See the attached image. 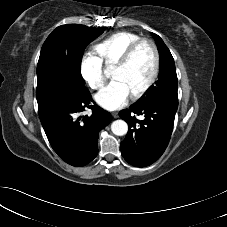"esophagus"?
Here are the masks:
<instances>
[{
  "instance_id": "34e87169",
  "label": "esophagus",
  "mask_w": 227,
  "mask_h": 227,
  "mask_svg": "<svg viewBox=\"0 0 227 227\" xmlns=\"http://www.w3.org/2000/svg\"><path fill=\"white\" fill-rule=\"evenodd\" d=\"M112 117H113V118H118V113H117V112H113V113H112Z\"/></svg>"
}]
</instances>
